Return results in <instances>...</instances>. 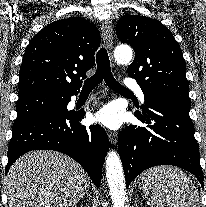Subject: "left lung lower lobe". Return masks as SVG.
I'll return each instance as SVG.
<instances>
[{
	"mask_svg": "<svg viewBox=\"0 0 206 207\" xmlns=\"http://www.w3.org/2000/svg\"><path fill=\"white\" fill-rule=\"evenodd\" d=\"M190 108L187 103L149 98L145 100L144 109L135 112L147 126H128L118 138L127 187L141 172L157 165L181 167L194 174L203 187Z\"/></svg>",
	"mask_w": 206,
	"mask_h": 207,
	"instance_id": "1",
	"label": "left lung lower lobe"
}]
</instances>
